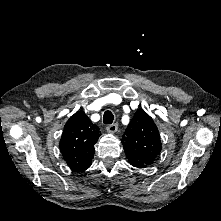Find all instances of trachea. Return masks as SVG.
I'll return each mask as SVG.
<instances>
[{
  "label": "trachea",
  "instance_id": "obj_1",
  "mask_svg": "<svg viewBox=\"0 0 221 221\" xmlns=\"http://www.w3.org/2000/svg\"><path fill=\"white\" fill-rule=\"evenodd\" d=\"M114 120V115L111 111H105L103 116V123L105 124H111Z\"/></svg>",
  "mask_w": 221,
  "mask_h": 221
}]
</instances>
